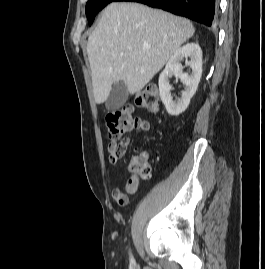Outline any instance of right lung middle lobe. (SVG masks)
I'll use <instances>...</instances> for the list:
<instances>
[{"instance_id":"1","label":"right lung middle lobe","mask_w":265,"mask_h":269,"mask_svg":"<svg viewBox=\"0 0 265 269\" xmlns=\"http://www.w3.org/2000/svg\"><path fill=\"white\" fill-rule=\"evenodd\" d=\"M115 0H88L86 4V15L89 21V25L92 24L96 14L102 10L107 4Z\"/></svg>"}]
</instances>
